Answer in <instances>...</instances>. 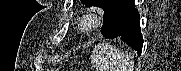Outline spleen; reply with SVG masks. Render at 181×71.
<instances>
[{
  "label": "spleen",
  "mask_w": 181,
  "mask_h": 71,
  "mask_svg": "<svg viewBox=\"0 0 181 71\" xmlns=\"http://www.w3.org/2000/svg\"><path fill=\"white\" fill-rule=\"evenodd\" d=\"M91 59L97 71H133L131 58L105 43L95 46Z\"/></svg>",
  "instance_id": "spleen-1"
}]
</instances>
